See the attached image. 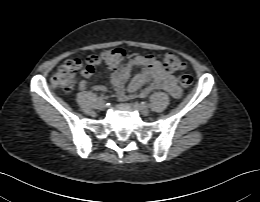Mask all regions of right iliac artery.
I'll return each mask as SVG.
<instances>
[{
	"mask_svg": "<svg viewBox=\"0 0 260 202\" xmlns=\"http://www.w3.org/2000/svg\"><path fill=\"white\" fill-rule=\"evenodd\" d=\"M103 99H104V97H103V96H100V97H99V100H100V101H101V100H103Z\"/></svg>",
	"mask_w": 260,
	"mask_h": 202,
	"instance_id": "obj_1",
	"label": "right iliac artery"
}]
</instances>
